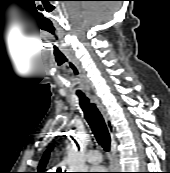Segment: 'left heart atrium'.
I'll return each instance as SVG.
<instances>
[{
    "label": "left heart atrium",
    "mask_w": 170,
    "mask_h": 173,
    "mask_svg": "<svg viewBox=\"0 0 170 173\" xmlns=\"http://www.w3.org/2000/svg\"><path fill=\"white\" fill-rule=\"evenodd\" d=\"M91 172L92 173H104L105 168L104 167H91Z\"/></svg>",
    "instance_id": "39dd6f15"
}]
</instances>
